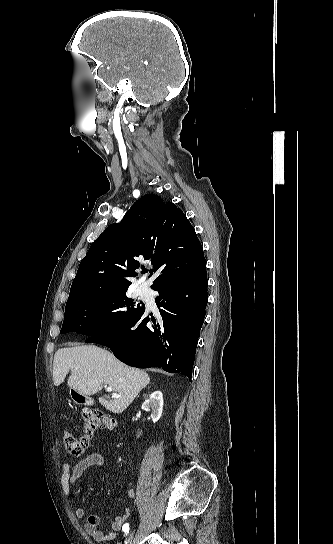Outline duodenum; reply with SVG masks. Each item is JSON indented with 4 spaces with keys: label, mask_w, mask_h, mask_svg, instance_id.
<instances>
[{
    "label": "duodenum",
    "mask_w": 333,
    "mask_h": 544,
    "mask_svg": "<svg viewBox=\"0 0 333 544\" xmlns=\"http://www.w3.org/2000/svg\"><path fill=\"white\" fill-rule=\"evenodd\" d=\"M81 402H83V403H84V402H86V403H91V400H89V399H87V398H86V399H85V398H81Z\"/></svg>",
    "instance_id": "obj_1"
}]
</instances>
